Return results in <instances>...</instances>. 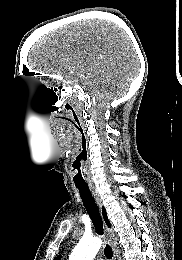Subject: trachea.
Here are the masks:
<instances>
[{"mask_svg":"<svg viewBox=\"0 0 182 260\" xmlns=\"http://www.w3.org/2000/svg\"><path fill=\"white\" fill-rule=\"evenodd\" d=\"M80 196L82 198V202L92 220V223L96 229V232L99 235H103L104 234V229H103V221L102 218L100 216L98 207L95 203V200L89 190L88 187H80L77 186ZM104 254L108 259H112L113 257V252L111 249V246L109 244H106L105 248H104Z\"/></svg>","mask_w":182,"mask_h":260,"instance_id":"1","label":"trachea"}]
</instances>
